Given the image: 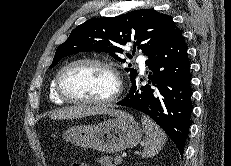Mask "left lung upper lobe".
<instances>
[{
  "label": "left lung upper lobe",
  "instance_id": "1",
  "mask_svg": "<svg viewBox=\"0 0 231 166\" xmlns=\"http://www.w3.org/2000/svg\"><path fill=\"white\" fill-rule=\"evenodd\" d=\"M176 28L171 16L152 9L134 10L116 17L90 19L77 26L68 39L58 46L50 67H54L65 56L88 51L105 52L114 59L125 62L118 54L123 53L121 46L127 43L134 44V51L137 45L150 57ZM125 70L130 72L131 81L134 80L137 70Z\"/></svg>",
  "mask_w": 231,
  "mask_h": 166
}]
</instances>
